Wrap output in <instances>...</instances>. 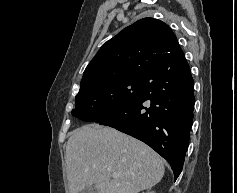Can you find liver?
Instances as JSON below:
<instances>
[{
    "label": "liver",
    "instance_id": "1",
    "mask_svg": "<svg viewBox=\"0 0 237 193\" xmlns=\"http://www.w3.org/2000/svg\"><path fill=\"white\" fill-rule=\"evenodd\" d=\"M65 161L70 193H79L91 185L99 193H139L155 186L164 176L163 162L149 146L97 124L71 132Z\"/></svg>",
    "mask_w": 237,
    "mask_h": 193
}]
</instances>
